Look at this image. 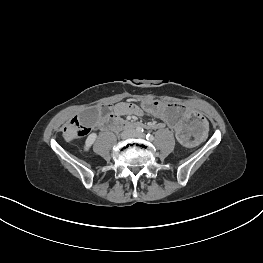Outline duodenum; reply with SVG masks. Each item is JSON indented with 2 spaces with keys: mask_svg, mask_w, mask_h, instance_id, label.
Here are the masks:
<instances>
[{
  "mask_svg": "<svg viewBox=\"0 0 263 263\" xmlns=\"http://www.w3.org/2000/svg\"><path fill=\"white\" fill-rule=\"evenodd\" d=\"M105 126L109 129H115V128L130 129V128H138L141 127L142 125L131 121H123L115 116H112L107 119V121L105 122Z\"/></svg>",
  "mask_w": 263,
  "mask_h": 263,
  "instance_id": "obj_1",
  "label": "duodenum"
}]
</instances>
